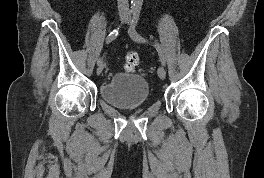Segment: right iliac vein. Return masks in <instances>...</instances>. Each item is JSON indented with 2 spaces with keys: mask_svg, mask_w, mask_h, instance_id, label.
Segmentation results:
<instances>
[{
  "mask_svg": "<svg viewBox=\"0 0 264 178\" xmlns=\"http://www.w3.org/2000/svg\"><path fill=\"white\" fill-rule=\"evenodd\" d=\"M119 18L121 21H124L126 19V15L121 13L119 14ZM104 69V63L99 64L98 68H97V74H100Z\"/></svg>",
  "mask_w": 264,
  "mask_h": 178,
  "instance_id": "63e3f726",
  "label": "right iliac vein"
}]
</instances>
